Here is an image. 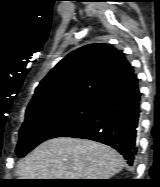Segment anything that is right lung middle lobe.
Here are the masks:
<instances>
[{"instance_id":"right-lung-middle-lobe-1","label":"right lung middle lobe","mask_w":160,"mask_h":187,"mask_svg":"<svg viewBox=\"0 0 160 187\" xmlns=\"http://www.w3.org/2000/svg\"><path fill=\"white\" fill-rule=\"evenodd\" d=\"M99 99H76L26 110L16 153L24 157L41 142L59 137L87 117Z\"/></svg>"}]
</instances>
